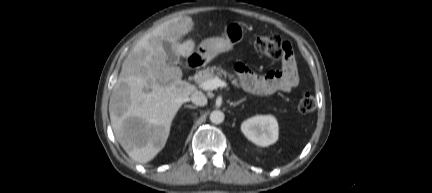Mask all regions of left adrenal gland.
<instances>
[{
    "label": "left adrenal gland",
    "instance_id": "1",
    "mask_svg": "<svg viewBox=\"0 0 432 193\" xmlns=\"http://www.w3.org/2000/svg\"><path fill=\"white\" fill-rule=\"evenodd\" d=\"M245 100H246V98H242V99L238 100L237 102L231 103V105L235 107V106L239 105L240 103H242Z\"/></svg>",
    "mask_w": 432,
    "mask_h": 193
}]
</instances>
